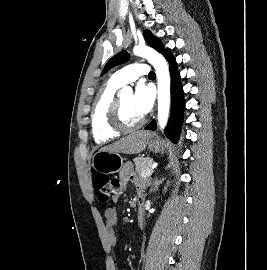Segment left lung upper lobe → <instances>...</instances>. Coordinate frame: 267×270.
<instances>
[{"label":"left lung upper lobe","instance_id":"left-lung-upper-lobe-1","mask_svg":"<svg viewBox=\"0 0 267 270\" xmlns=\"http://www.w3.org/2000/svg\"><path fill=\"white\" fill-rule=\"evenodd\" d=\"M144 36L147 40V43L154 49H156L158 52L164 54V52L167 50L163 46L161 40L157 37H154L152 34L148 33L147 30L144 31ZM130 56L126 51H121L114 55L106 64L104 67V70L102 72V75L105 74L110 68L120 65L122 63H125L129 60Z\"/></svg>","mask_w":267,"mask_h":270}]
</instances>
